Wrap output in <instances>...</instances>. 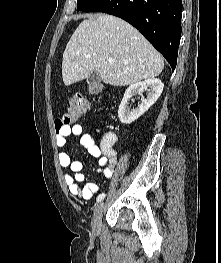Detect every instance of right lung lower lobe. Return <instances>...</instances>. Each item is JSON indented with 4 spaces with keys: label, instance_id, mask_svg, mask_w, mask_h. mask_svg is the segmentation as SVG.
Returning <instances> with one entry per match:
<instances>
[{
    "label": "right lung lower lobe",
    "instance_id": "98d812e1",
    "mask_svg": "<svg viewBox=\"0 0 221 263\" xmlns=\"http://www.w3.org/2000/svg\"><path fill=\"white\" fill-rule=\"evenodd\" d=\"M93 11L112 14L136 27L175 69L182 0H104Z\"/></svg>",
    "mask_w": 221,
    "mask_h": 263
}]
</instances>
